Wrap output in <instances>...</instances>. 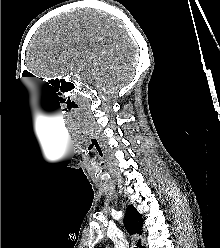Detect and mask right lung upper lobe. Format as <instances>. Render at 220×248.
Segmentation results:
<instances>
[{"label":"right lung upper lobe","instance_id":"obj_1","mask_svg":"<svg viewBox=\"0 0 220 248\" xmlns=\"http://www.w3.org/2000/svg\"><path fill=\"white\" fill-rule=\"evenodd\" d=\"M123 223L130 235L142 234L143 218L133 205L127 207ZM137 246L138 248H144L141 246L140 241H138Z\"/></svg>","mask_w":220,"mask_h":248}]
</instances>
